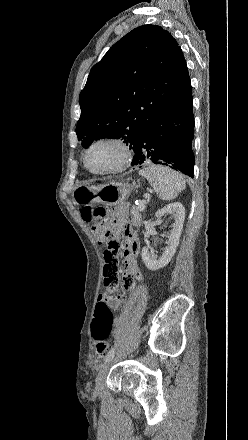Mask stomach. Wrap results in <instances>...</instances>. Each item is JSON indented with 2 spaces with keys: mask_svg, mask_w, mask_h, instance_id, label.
I'll use <instances>...</instances> for the list:
<instances>
[{
  "mask_svg": "<svg viewBox=\"0 0 248 440\" xmlns=\"http://www.w3.org/2000/svg\"><path fill=\"white\" fill-rule=\"evenodd\" d=\"M134 188V185L114 182L99 188L82 185L73 191L72 200L75 205L102 203L107 206H114L123 203Z\"/></svg>",
  "mask_w": 248,
  "mask_h": 440,
  "instance_id": "0dacf381",
  "label": "stomach"
}]
</instances>
